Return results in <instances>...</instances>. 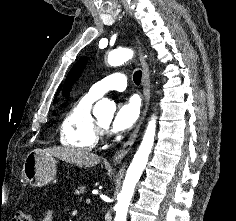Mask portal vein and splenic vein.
Instances as JSON below:
<instances>
[{
  "label": "portal vein and splenic vein",
  "mask_w": 236,
  "mask_h": 221,
  "mask_svg": "<svg viewBox=\"0 0 236 221\" xmlns=\"http://www.w3.org/2000/svg\"><path fill=\"white\" fill-rule=\"evenodd\" d=\"M91 202V199L90 198H87L86 199V203L88 204V203H90Z\"/></svg>",
  "instance_id": "obj_1"
}]
</instances>
